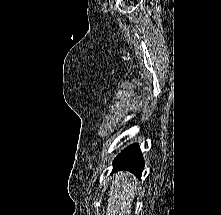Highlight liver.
<instances>
[{
    "label": "liver",
    "instance_id": "6515ba94",
    "mask_svg": "<svg viewBox=\"0 0 221 215\" xmlns=\"http://www.w3.org/2000/svg\"><path fill=\"white\" fill-rule=\"evenodd\" d=\"M129 172H120L115 175L108 192L106 215H130L132 202L137 190L135 179Z\"/></svg>",
    "mask_w": 221,
    "mask_h": 215
}]
</instances>
